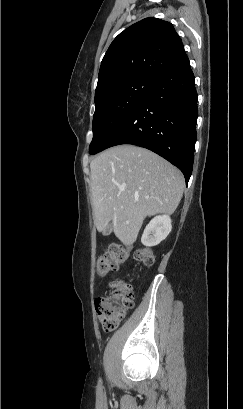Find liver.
I'll use <instances>...</instances> for the list:
<instances>
[{"instance_id":"6515ba94","label":"liver","mask_w":243,"mask_h":409,"mask_svg":"<svg viewBox=\"0 0 243 409\" xmlns=\"http://www.w3.org/2000/svg\"><path fill=\"white\" fill-rule=\"evenodd\" d=\"M90 171L94 224L103 232L111 223L125 245L136 241L146 217L172 214L185 187L179 169L134 145L105 150L91 161Z\"/></svg>"}]
</instances>
